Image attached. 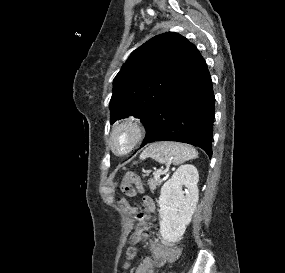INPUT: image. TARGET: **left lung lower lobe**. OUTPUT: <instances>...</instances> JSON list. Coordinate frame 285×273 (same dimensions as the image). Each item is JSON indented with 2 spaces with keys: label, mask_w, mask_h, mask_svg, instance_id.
<instances>
[{
  "label": "left lung lower lobe",
  "mask_w": 285,
  "mask_h": 273,
  "mask_svg": "<svg viewBox=\"0 0 285 273\" xmlns=\"http://www.w3.org/2000/svg\"><path fill=\"white\" fill-rule=\"evenodd\" d=\"M215 97L206 62L192 44L175 83L141 121L146 138L178 141L202 148L211 158Z\"/></svg>",
  "instance_id": "1"
}]
</instances>
